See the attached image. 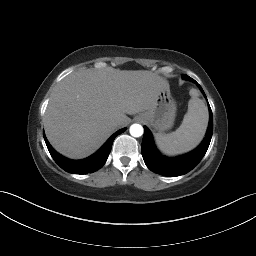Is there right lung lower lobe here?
<instances>
[{"instance_id":"obj_1","label":"right lung lower lobe","mask_w":256,"mask_h":256,"mask_svg":"<svg viewBox=\"0 0 256 256\" xmlns=\"http://www.w3.org/2000/svg\"><path fill=\"white\" fill-rule=\"evenodd\" d=\"M125 130L126 128H123L115 132L95 154L83 160H70L63 157L52 148L45 134L43 136L52 158L63 170L73 174H86L97 171L105 164L114 139Z\"/></svg>"}]
</instances>
